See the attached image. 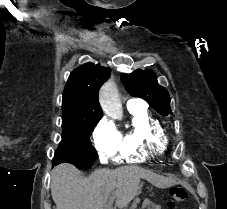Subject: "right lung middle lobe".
<instances>
[{
	"instance_id": "1",
	"label": "right lung middle lobe",
	"mask_w": 227,
	"mask_h": 209,
	"mask_svg": "<svg viewBox=\"0 0 227 209\" xmlns=\"http://www.w3.org/2000/svg\"><path fill=\"white\" fill-rule=\"evenodd\" d=\"M101 116L62 118V141L55 152L52 166L71 163L78 169H90L97 152L89 139Z\"/></svg>"
}]
</instances>
